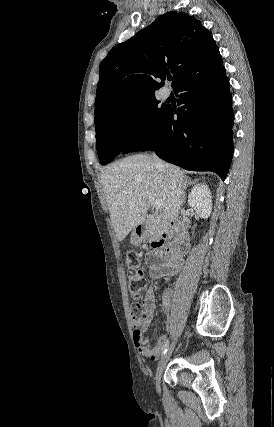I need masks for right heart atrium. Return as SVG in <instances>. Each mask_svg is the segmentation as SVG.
Here are the masks:
<instances>
[{"label":"right heart atrium","instance_id":"right-heart-atrium-1","mask_svg":"<svg viewBox=\"0 0 274 427\" xmlns=\"http://www.w3.org/2000/svg\"><path fill=\"white\" fill-rule=\"evenodd\" d=\"M147 118L142 113H132L127 120V133L131 139L139 140L145 136Z\"/></svg>","mask_w":274,"mask_h":427}]
</instances>
